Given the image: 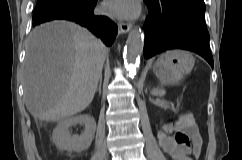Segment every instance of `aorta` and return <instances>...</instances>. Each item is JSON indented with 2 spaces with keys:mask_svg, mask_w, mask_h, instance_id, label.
Wrapping results in <instances>:
<instances>
[{
  "mask_svg": "<svg viewBox=\"0 0 242 160\" xmlns=\"http://www.w3.org/2000/svg\"><path fill=\"white\" fill-rule=\"evenodd\" d=\"M143 46L144 34L141 30L133 29L128 35L127 46L124 52V61L127 65L135 68L139 64Z\"/></svg>",
  "mask_w": 242,
  "mask_h": 160,
  "instance_id": "762f6f07",
  "label": "aorta"
}]
</instances>
